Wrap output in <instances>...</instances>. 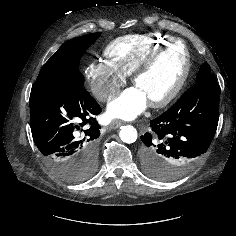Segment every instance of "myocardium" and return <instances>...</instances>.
Returning a JSON list of instances; mask_svg holds the SVG:
<instances>
[{"label":"myocardium","instance_id":"obj_1","mask_svg":"<svg viewBox=\"0 0 236 236\" xmlns=\"http://www.w3.org/2000/svg\"><path fill=\"white\" fill-rule=\"evenodd\" d=\"M175 45H181L183 48V55H184L183 72L178 81L176 82V84L167 94H165L161 98L149 101L151 107L161 108L168 105L176 98V96L180 93V91L186 84L191 69V58L185 42L179 39H173L172 41L161 45L160 47L155 49L152 53H150L131 73V80L134 84H136L138 78L142 76L146 71H148L164 52H166L168 49H170Z\"/></svg>","mask_w":236,"mask_h":236}]
</instances>
